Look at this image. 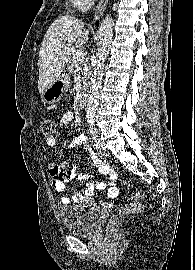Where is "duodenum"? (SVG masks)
<instances>
[{
	"instance_id": "410a0bca",
	"label": "duodenum",
	"mask_w": 195,
	"mask_h": 270,
	"mask_svg": "<svg viewBox=\"0 0 195 270\" xmlns=\"http://www.w3.org/2000/svg\"><path fill=\"white\" fill-rule=\"evenodd\" d=\"M87 97H88L87 93H84V94L82 95L81 100H80L81 105H83V106L86 105V103H87Z\"/></svg>"
}]
</instances>
